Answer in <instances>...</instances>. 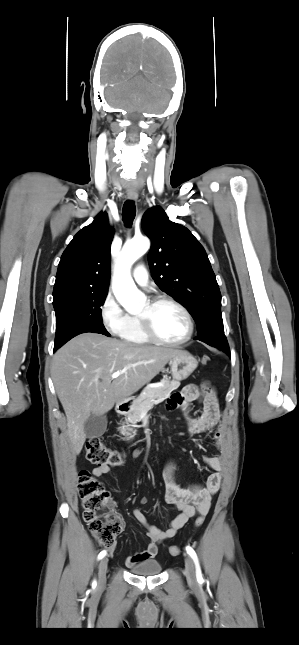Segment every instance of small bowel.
<instances>
[{"label":"small bowel","instance_id":"obj_1","mask_svg":"<svg viewBox=\"0 0 299 645\" xmlns=\"http://www.w3.org/2000/svg\"><path fill=\"white\" fill-rule=\"evenodd\" d=\"M200 399V392L196 385L185 386L179 393L173 395L168 401V409H179L187 422L189 435H196L207 432L218 426L220 422V409L216 392L211 390L203 399V412L200 416L191 415V404ZM217 447L224 449V437L219 427L214 434ZM141 451L134 452V457H139ZM204 463L211 470L204 484H193L182 488L178 484L179 472L176 464L169 461L164 471V497L165 501L172 505L179 514L170 522L168 528L160 529L148 522L141 509L133 511L135 519L147 529L149 544L141 552H136L125 559L127 567L153 559L159 550L160 545L172 539L176 533L196 515H206L210 509L213 496L217 493L221 483L222 457L217 455H206ZM110 466L99 465L92 471L95 477H101L110 471ZM141 504L147 503V498L140 499ZM113 547L110 548V552Z\"/></svg>","mask_w":299,"mask_h":645}]
</instances>
